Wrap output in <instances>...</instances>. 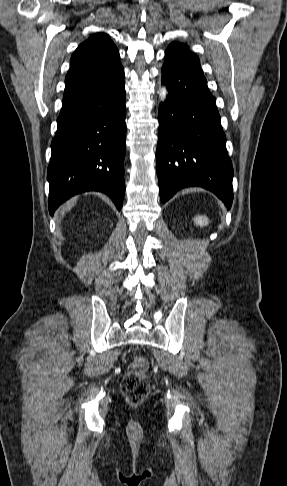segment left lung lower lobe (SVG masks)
I'll list each match as a JSON object with an SVG mask.
<instances>
[{
    "label": "left lung lower lobe",
    "instance_id": "1",
    "mask_svg": "<svg viewBox=\"0 0 287 486\" xmlns=\"http://www.w3.org/2000/svg\"><path fill=\"white\" fill-rule=\"evenodd\" d=\"M162 83L168 95L158 115L156 169L161 202L181 188L200 186L230 209L233 167L216 99L206 79L165 57Z\"/></svg>",
    "mask_w": 287,
    "mask_h": 486
}]
</instances>
